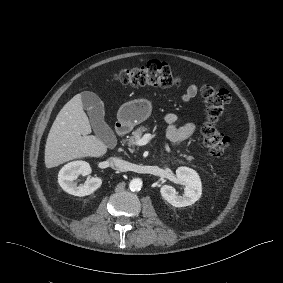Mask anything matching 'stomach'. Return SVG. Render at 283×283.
Here are the masks:
<instances>
[{
  "label": "stomach",
  "instance_id": "stomach-1",
  "mask_svg": "<svg viewBox=\"0 0 283 283\" xmlns=\"http://www.w3.org/2000/svg\"><path fill=\"white\" fill-rule=\"evenodd\" d=\"M146 112L147 106L145 103L132 101L118 111L117 119L123 126L132 128L149 117L146 116Z\"/></svg>",
  "mask_w": 283,
  "mask_h": 283
}]
</instances>
